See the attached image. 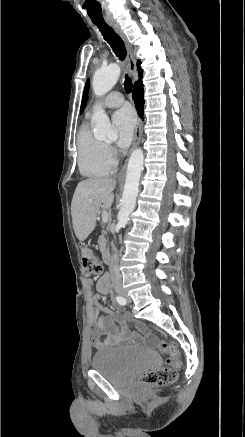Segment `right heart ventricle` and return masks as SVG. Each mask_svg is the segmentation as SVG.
<instances>
[{
    "mask_svg": "<svg viewBox=\"0 0 245 437\" xmlns=\"http://www.w3.org/2000/svg\"><path fill=\"white\" fill-rule=\"evenodd\" d=\"M77 162L80 173L88 178L108 176L115 167L106 151V145L96 139L86 119L77 134Z\"/></svg>",
    "mask_w": 245,
    "mask_h": 437,
    "instance_id": "right-heart-ventricle-1",
    "label": "right heart ventricle"
}]
</instances>
